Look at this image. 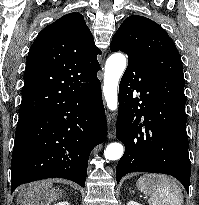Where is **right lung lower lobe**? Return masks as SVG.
<instances>
[{"label":"right lung lower lobe","instance_id":"1","mask_svg":"<svg viewBox=\"0 0 199 205\" xmlns=\"http://www.w3.org/2000/svg\"><path fill=\"white\" fill-rule=\"evenodd\" d=\"M98 79L19 121L11 161V193L21 184L65 178L85 186L92 149L106 138Z\"/></svg>","mask_w":199,"mask_h":205}]
</instances>
